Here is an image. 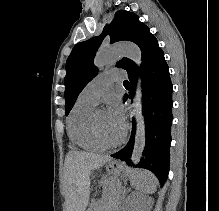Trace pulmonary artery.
<instances>
[{
  "instance_id": "e3ab8cb5",
  "label": "pulmonary artery",
  "mask_w": 219,
  "mask_h": 211,
  "mask_svg": "<svg viewBox=\"0 0 219 211\" xmlns=\"http://www.w3.org/2000/svg\"><path fill=\"white\" fill-rule=\"evenodd\" d=\"M124 74V69H108L95 76L80 92L79 99L97 104L100 96L108 89L114 81L127 80V75Z\"/></svg>"
}]
</instances>
